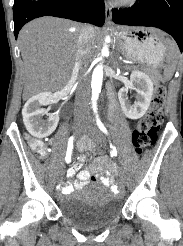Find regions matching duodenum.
Masks as SVG:
<instances>
[{"instance_id": "obj_1", "label": "duodenum", "mask_w": 183, "mask_h": 246, "mask_svg": "<svg viewBox=\"0 0 183 246\" xmlns=\"http://www.w3.org/2000/svg\"><path fill=\"white\" fill-rule=\"evenodd\" d=\"M91 137L90 136H86L85 139L81 140L80 143V150L81 151H86L87 148H96L97 144L96 143H90L91 141Z\"/></svg>"}]
</instances>
